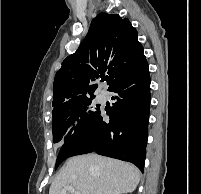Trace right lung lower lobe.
<instances>
[{
	"instance_id": "98d812e1",
	"label": "right lung lower lobe",
	"mask_w": 201,
	"mask_h": 194,
	"mask_svg": "<svg viewBox=\"0 0 201 194\" xmlns=\"http://www.w3.org/2000/svg\"><path fill=\"white\" fill-rule=\"evenodd\" d=\"M108 91L116 93L111 98L114 103L110 121L106 123L100 112L86 128L65 141L59 154L68 158L95 151L131 162L143 172L150 107V76L145 56Z\"/></svg>"
}]
</instances>
